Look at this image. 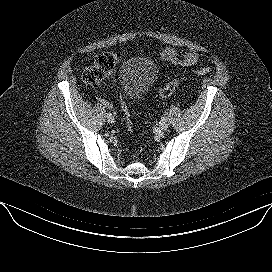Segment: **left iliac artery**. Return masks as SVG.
Returning <instances> with one entry per match:
<instances>
[{
    "instance_id": "1",
    "label": "left iliac artery",
    "mask_w": 272,
    "mask_h": 272,
    "mask_svg": "<svg viewBox=\"0 0 272 272\" xmlns=\"http://www.w3.org/2000/svg\"><path fill=\"white\" fill-rule=\"evenodd\" d=\"M161 119H162V121H166L167 120L166 117H164V116Z\"/></svg>"
}]
</instances>
